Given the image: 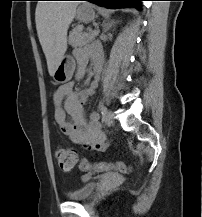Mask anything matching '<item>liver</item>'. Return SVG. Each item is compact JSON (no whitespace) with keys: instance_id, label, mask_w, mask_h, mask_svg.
<instances>
[{"instance_id":"1","label":"liver","mask_w":202,"mask_h":217,"mask_svg":"<svg viewBox=\"0 0 202 217\" xmlns=\"http://www.w3.org/2000/svg\"><path fill=\"white\" fill-rule=\"evenodd\" d=\"M74 2H40L35 12L36 29L45 54L50 76L67 50V31L76 15Z\"/></svg>"}]
</instances>
